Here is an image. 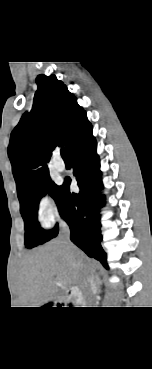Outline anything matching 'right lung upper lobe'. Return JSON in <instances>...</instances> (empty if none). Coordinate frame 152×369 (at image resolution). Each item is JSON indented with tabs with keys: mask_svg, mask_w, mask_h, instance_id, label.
I'll return each mask as SVG.
<instances>
[{
	"mask_svg": "<svg viewBox=\"0 0 152 369\" xmlns=\"http://www.w3.org/2000/svg\"><path fill=\"white\" fill-rule=\"evenodd\" d=\"M36 82L32 109L21 117L8 146L19 200L49 175L47 163L57 146L65 145L69 152L92 129L76 97L55 75H39Z\"/></svg>",
	"mask_w": 152,
	"mask_h": 369,
	"instance_id": "obj_1",
	"label": "right lung upper lobe"
}]
</instances>
